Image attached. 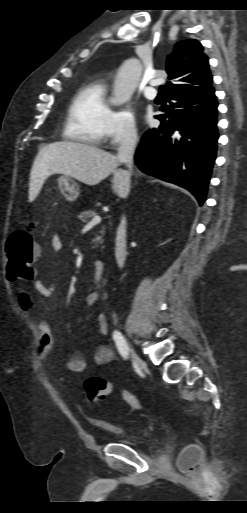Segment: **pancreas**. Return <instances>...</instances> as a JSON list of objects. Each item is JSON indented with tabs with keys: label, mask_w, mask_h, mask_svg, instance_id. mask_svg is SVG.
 Returning <instances> with one entry per match:
<instances>
[{
	"label": "pancreas",
	"mask_w": 247,
	"mask_h": 513,
	"mask_svg": "<svg viewBox=\"0 0 247 513\" xmlns=\"http://www.w3.org/2000/svg\"><path fill=\"white\" fill-rule=\"evenodd\" d=\"M95 215H97L95 210L88 209V210H85V211L81 212L80 215L78 216V219L81 222L87 223V222H89V219L94 217ZM100 233H101L102 236L105 234L104 227L102 228ZM99 239H101V237L97 236L96 240H99Z\"/></svg>",
	"instance_id": "pancreas-1"
}]
</instances>
